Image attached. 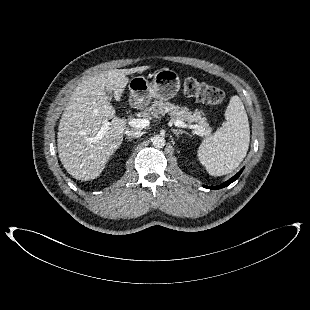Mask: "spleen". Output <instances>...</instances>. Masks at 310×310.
Listing matches in <instances>:
<instances>
[{
	"label": "spleen",
	"instance_id": "obj_1",
	"mask_svg": "<svg viewBox=\"0 0 310 310\" xmlns=\"http://www.w3.org/2000/svg\"><path fill=\"white\" fill-rule=\"evenodd\" d=\"M226 122L198 148L200 163L212 176L234 171L245 158L250 143L246 110L237 95L232 96L225 111Z\"/></svg>",
	"mask_w": 310,
	"mask_h": 310
}]
</instances>
